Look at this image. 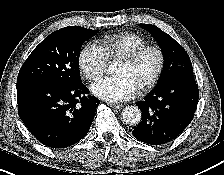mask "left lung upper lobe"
Returning <instances> with one entry per match:
<instances>
[{
	"mask_svg": "<svg viewBox=\"0 0 224 175\" xmlns=\"http://www.w3.org/2000/svg\"><path fill=\"white\" fill-rule=\"evenodd\" d=\"M138 25L150 32L163 52L164 66L158 84L178 75L193 74L190 58L178 42L154 25Z\"/></svg>",
	"mask_w": 224,
	"mask_h": 175,
	"instance_id": "1",
	"label": "left lung upper lobe"
}]
</instances>
